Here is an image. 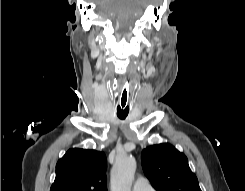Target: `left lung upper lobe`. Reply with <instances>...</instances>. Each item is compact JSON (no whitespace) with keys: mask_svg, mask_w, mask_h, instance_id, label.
Listing matches in <instances>:
<instances>
[{"mask_svg":"<svg viewBox=\"0 0 245 191\" xmlns=\"http://www.w3.org/2000/svg\"><path fill=\"white\" fill-rule=\"evenodd\" d=\"M145 175L157 191H201L187 157L174 146L162 143L142 151Z\"/></svg>","mask_w":245,"mask_h":191,"instance_id":"5c2ea615","label":"left lung upper lobe"}]
</instances>
